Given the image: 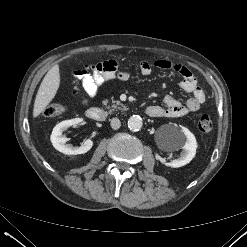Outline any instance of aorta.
I'll return each mask as SVG.
<instances>
[{
  "label": "aorta",
  "instance_id": "obj_1",
  "mask_svg": "<svg viewBox=\"0 0 247 247\" xmlns=\"http://www.w3.org/2000/svg\"><path fill=\"white\" fill-rule=\"evenodd\" d=\"M143 126L142 118L138 115H133L128 119V128L131 131H139Z\"/></svg>",
  "mask_w": 247,
  "mask_h": 247
}]
</instances>
